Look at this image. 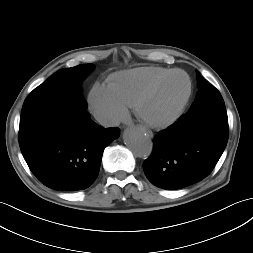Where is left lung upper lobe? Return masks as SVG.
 I'll return each instance as SVG.
<instances>
[{"label": "left lung upper lobe", "mask_w": 253, "mask_h": 253, "mask_svg": "<svg viewBox=\"0 0 253 253\" xmlns=\"http://www.w3.org/2000/svg\"><path fill=\"white\" fill-rule=\"evenodd\" d=\"M199 91L184 117H199L212 111L226 110L220 92L197 73Z\"/></svg>", "instance_id": "obj_1"}]
</instances>
